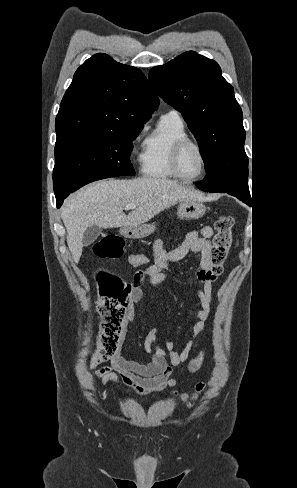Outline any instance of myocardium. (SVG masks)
<instances>
[{
  "label": "myocardium",
  "instance_id": "myocardium-1",
  "mask_svg": "<svg viewBox=\"0 0 297 488\" xmlns=\"http://www.w3.org/2000/svg\"><path fill=\"white\" fill-rule=\"evenodd\" d=\"M188 145H192L198 150V152L201 156V162H202V167H201L200 172L193 177L185 176L181 172L180 167H179L180 155H181L183 149ZM170 167H171L172 172L179 179H181L183 181H187V182L197 181L206 173V170H207L206 152H205L204 148L197 141H195L194 139H192L190 137H185V138L179 139L178 141L175 142V144L173 145V147L171 149Z\"/></svg>",
  "mask_w": 297,
  "mask_h": 488
}]
</instances>
